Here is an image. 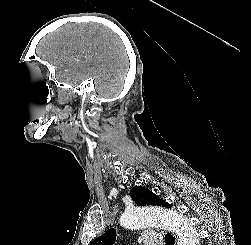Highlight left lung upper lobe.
Returning <instances> with one entry per match:
<instances>
[{
	"mask_svg": "<svg viewBox=\"0 0 251 245\" xmlns=\"http://www.w3.org/2000/svg\"><path fill=\"white\" fill-rule=\"evenodd\" d=\"M132 200L140 205L162 206L166 208L172 207L171 204L163 201L159 196L142 186H135L130 190ZM116 238V232L113 228L108 229L102 236L95 239L90 245H113Z\"/></svg>",
	"mask_w": 251,
	"mask_h": 245,
	"instance_id": "1",
	"label": "left lung upper lobe"
}]
</instances>
